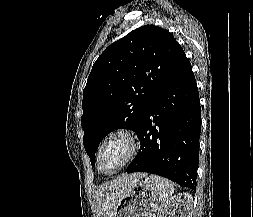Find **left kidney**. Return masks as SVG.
Returning <instances> with one entry per match:
<instances>
[{"mask_svg": "<svg viewBox=\"0 0 253 217\" xmlns=\"http://www.w3.org/2000/svg\"><path fill=\"white\" fill-rule=\"evenodd\" d=\"M192 196L187 193H181L173 196L164 203L159 210V217H168L170 214H178V217H189ZM170 217V216H169Z\"/></svg>", "mask_w": 253, "mask_h": 217, "instance_id": "obj_1", "label": "left kidney"}]
</instances>
